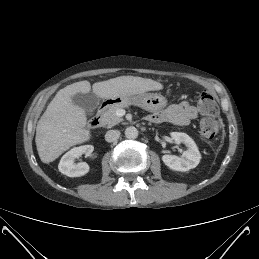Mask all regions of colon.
<instances>
[{
    "instance_id": "obj_1",
    "label": "colon",
    "mask_w": 259,
    "mask_h": 259,
    "mask_svg": "<svg viewBox=\"0 0 259 259\" xmlns=\"http://www.w3.org/2000/svg\"><path fill=\"white\" fill-rule=\"evenodd\" d=\"M203 117L200 120V133L205 139L214 138L220 129L217 119L218 107L213 97L209 93H202L199 102Z\"/></svg>"
}]
</instances>
